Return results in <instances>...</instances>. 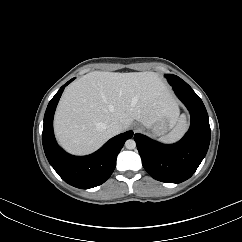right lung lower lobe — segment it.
<instances>
[{
	"label": "right lung lower lobe",
	"instance_id": "98d812e1",
	"mask_svg": "<svg viewBox=\"0 0 242 242\" xmlns=\"http://www.w3.org/2000/svg\"><path fill=\"white\" fill-rule=\"evenodd\" d=\"M73 80L74 78L63 85L47 106L42 142L46 157L59 176L74 187L89 189L101 185L110 177L116 167L117 155L124 142L133 136V131L110 139L102 148L88 156H72L62 150L54 137L53 117L65 86Z\"/></svg>",
	"mask_w": 242,
	"mask_h": 242
}]
</instances>
